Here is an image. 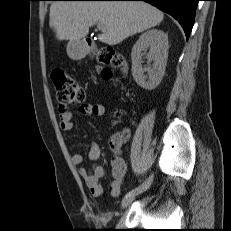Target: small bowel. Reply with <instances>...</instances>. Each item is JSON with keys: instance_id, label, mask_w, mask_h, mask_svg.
Segmentation results:
<instances>
[{"instance_id": "obj_1", "label": "small bowel", "mask_w": 231, "mask_h": 231, "mask_svg": "<svg viewBox=\"0 0 231 231\" xmlns=\"http://www.w3.org/2000/svg\"><path fill=\"white\" fill-rule=\"evenodd\" d=\"M79 113L83 116L100 117L104 114V107L101 104H83L79 107ZM59 127L62 131L69 132L73 129L72 113L69 110H61L59 113ZM130 131L128 129L115 134L109 141L110 148L113 152L111 158V174L113 180L109 185V194L112 197H118L121 193L125 176V163L121 157V147L129 139ZM88 158L93 162L91 168L79 167V175L84 180L93 197H100L103 194V187L100 179L103 178L107 171L99 164L102 156L98 144L92 143L89 147ZM74 165L82 164L83 157L80 153H74L71 157Z\"/></svg>"}]
</instances>
